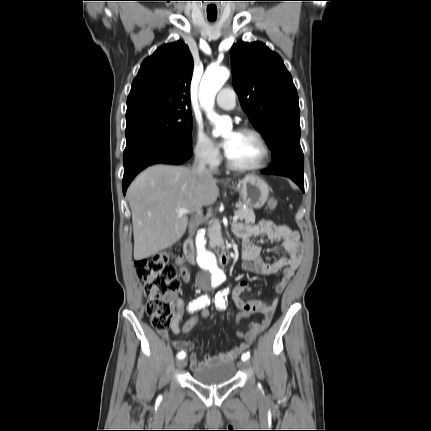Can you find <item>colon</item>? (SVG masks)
Wrapping results in <instances>:
<instances>
[{
	"instance_id": "obj_1",
	"label": "colon",
	"mask_w": 431,
	"mask_h": 431,
	"mask_svg": "<svg viewBox=\"0 0 431 431\" xmlns=\"http://www.w3.org/2000/svg\"><path fill=\"white\" fill-rule=\"evenodd\" d=\"M275 207L276 201L268 200L267 209L273 210ZM170 259L169 253L162 252L135 262L136 275L147 298V314L152 326L159 331L166 330L170 325L174 313L173 300L181 286L177 268ZM209 312L210 309L204 306L197 313H190L180 335L186 338L199 324H207ZM250 316L249 310H239L234 314L233 324L236 326L237 337L242 338L245 335V332L239 329V324L242 319H249Z\"/></svg>"
}]
</instances>
